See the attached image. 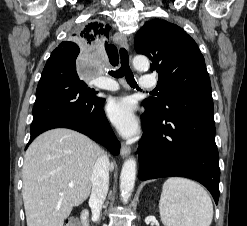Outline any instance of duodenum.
I'll list each match as a JSON object with an SVG mask.
<instances>
[{
    "label": "duodenum",
    "instance_id": "410a0bca",
    "mask_svg": "<svg viewBox=\"0 0 247 226\" xmlns=\"http://www.w3.org/2000/svg\"><path fill=\"white\" fill-rule=\"evenodd\" d=\"M81 225L82 226H89V212L88 210H83L81 212Z\"/></svg>",
    "mask_w": 247,
    "mask_h": 226
}]
</instances>
